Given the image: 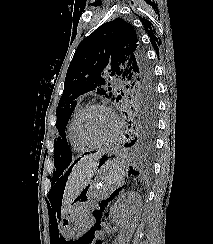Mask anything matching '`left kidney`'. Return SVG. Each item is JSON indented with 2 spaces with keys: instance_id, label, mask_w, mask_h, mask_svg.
Segmentation results:
<instances>
[{
  "instance_id": "1",
  "label": "left kidney",
  "mask_w": 213,
  "mask_h": 244,
  "mask_svg": "<svg viewBox=\"0 0 213 244\" xmlns=\"http://www.w3.org/2000/svg\"><path fill=\"white\" fill-rule=\"evenodd\" d=\"M140 196L133 192H128L120 197L110 211V217L126 231V236L131 235L136 227L139 215ZM119 241H123L120 237Z\"/></svg>"
}]
</instances>
